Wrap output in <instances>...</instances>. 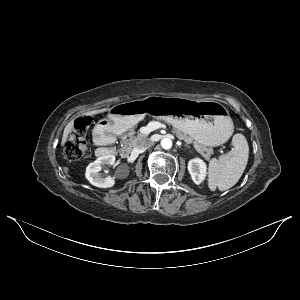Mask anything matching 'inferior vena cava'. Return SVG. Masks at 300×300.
Listing matches in <instances>:
<instances>
[{"instance_id":"obj_1","label":"inferior vena cava","mask_w":300,"mask_h":300,"mask_svg":"<svg viewBox=\"0 0 300 300\" xmlns=\"http://www.w3.org/2000/svg\"><path fill=\"white\" fill-rule=\"evenodd\" d=\"M152 141L148 138H143L140 143L134 148V152L135 153H143L144 151H146L151 145H152Z\"/></svg>"}]
</instances>
